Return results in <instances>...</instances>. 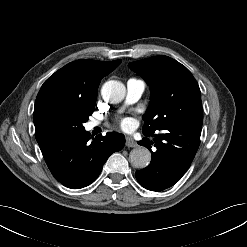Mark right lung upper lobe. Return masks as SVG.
Returning a JSON list of instances; mask_svg holds the SVG:
<instances>
[{"instance_id":"right-lung-upper-lobe-1","label":"right lung upper lobe","mask_w":247,"mask_h":247,"mask_svg":"<svg viewBox=\"0 0 247 247\" xmlns=\"http://www.w3.org/2000/svg\"><path fill=\"white\" fill-rule=\"evenodd\" d=\"M120 63L121 60L81 59L67 64L44 82L36 98L34 113L49 102L95 104L101 79Z\"/></svg>"}]
</instances>
